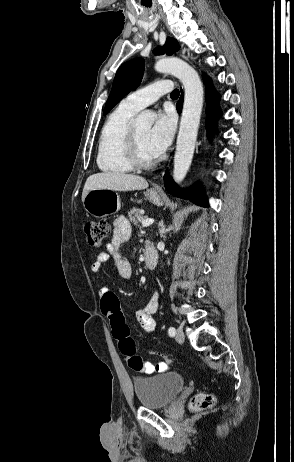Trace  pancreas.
I'll use <instances>...</instances> for the list:
<instances>
[{
    "instance_id": "pancreas-1",
    "label": "pancreas",
    "mask_w": 294,
    "mask_h": 462,
    "mask_svg": "<svg viewBox=\"0 0 294 462\" xmlns=\"http://www.w3.org/2000/svg\"><path fill=\"white\" fill-rule=\"evenodd\" d=\"M128 216L129 220L135 225H139L144 220L143 213L140 209L133 208L129 211Z\"/></svg>"
}]
</instances>
